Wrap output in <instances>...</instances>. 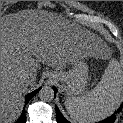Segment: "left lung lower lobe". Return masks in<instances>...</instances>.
I'll use <instances>...</instances> for the list:
<instances>
[{
    "label": "left lung lower lobe",
    "mask_w": 123,
    "mask_h": 123,
    "mask_svg": "<svg viewBox=\"0 0 123 123\" xmlns=\"http://www.w3.org/2000/svg\"><path fill=\"white\" fill-rule=\"evenodd\" d=\"M54 93L57 92V89L53 87ZM123 104L120 106V108L117 110L116 113H119L122 110ZM56 116H57V123H69L61 114L60 110L56 106ZM116 119V115H112L111 117L107 118L104 121H101L100 123H113Z\"/></svg>",
    "instance_id": "1"
}]
</instances>
